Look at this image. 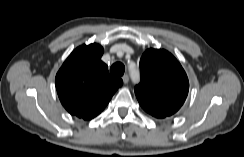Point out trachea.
Returning <instances> with one entry per match:
<instances>
[{"label":"trachea","mask_w":244,"mask_h":157,"mask_svg":"<svg viewBox=\"0 0 244 157\" xmlns=\"http://www.w3.org/2000/svg\"><path fill=\"white\" fill-rule=\"evenodd\" d=\"M125 72V66L121 62L114 63L110 68V73L115 76H122Z\"/></svg>","instance_id":"1"}]
</instances>
